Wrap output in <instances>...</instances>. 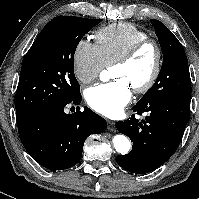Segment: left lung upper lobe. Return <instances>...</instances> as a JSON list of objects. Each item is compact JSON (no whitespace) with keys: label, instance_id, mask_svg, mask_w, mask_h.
<instances>
[{"label":"left lung upper lobe","instance_id":"1","mask_svg":"<svg viewBox=\"0 0 199 199\" xmlns=\"http://www.w3.org/2000/svg\"><path fill=\"white\" fill-rule=\"evenodd\" d=\"M150 21L163 52V64L156 82L136 106L147 107L173 97L191 98V79L183 46L162 22Z\"/></svg>","mask_w":199,"mask_h":199}]
</instances>
